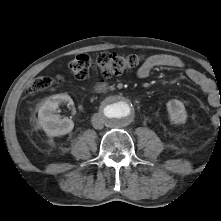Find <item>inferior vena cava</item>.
I'll return each mask as SVG.
<instances>
[{
    "mask_svg": "<svg viewBox=\"0 0 221 221\" xmlns=\"http://www.w3.org/2000/svg\"><path fill=\"white\" fill-rule=\"evenodd\" d=\"M104 117L101 115V114H94L93 117H92V125L95 129H103L104 127Z\"/></svg>",
    "mask_w": 221,
    "mask_h": 221,
    "instance_id": "602c4592",
    "label": "inferior vena cava"
}]
</instances>
